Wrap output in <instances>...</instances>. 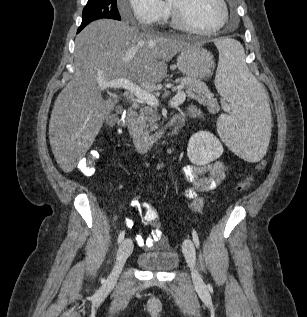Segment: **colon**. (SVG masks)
Returning a JSON list of instances; mask_svg holds the SVG:
<instances>
[{
    "mask_svg": "<svg viewBox=\"0 0 307 317\" xmlns=\"http://www.w3.org/2000/svg\"><path fill=\"white\" fill-rule=\"evenodd\" d=\"M116 128L118 133H124L127 128L126 120L123 118H119L116 121ZM99 158V153L97 150H90L86 153V155L82 158V160L79 163V169L81 172H83L86 175H93L95 173V166ZM266 168V163L264 161L259 162L254 167V172H261ZM254 181V174H250L240 180L237 185L236 189L238 191H245L249 189ZM144 209V220L156 228L157 230H160V219L159 215L156 212V210L149 204L144 203L143 204Z\"/></svg>",
    "mask_w": 307,
    "mask_h": 317,
    "instance_id": "obj_1",
    "label": "colon"
}]
</instances>
